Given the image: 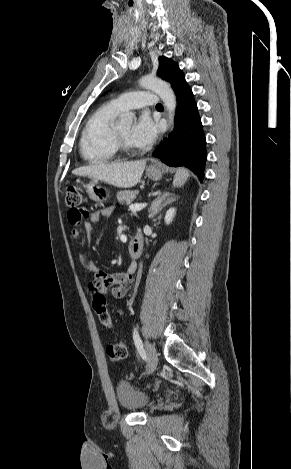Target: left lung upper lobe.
I'll list each match as a JSON object with an SVG mask.
<instances>
[{"label": "left lung upper lobe", "mask_w": 291, "mask_h": 469, "mask_svg": "<svg viewBox=\"0 0 291 469\" xmlns=\"http://www.w3.org/2000/svg\"><path fill=\"white\" fill-rule=\"evenodd\" d=\"M182 71L179 69L177 63L173 60L168 59L164 56L159 58V68L157 75L162 79L171 83V86L177 81V79L182 75Z\"/></svg>", "instance_id": "5c2ea615"}]
</instances>
